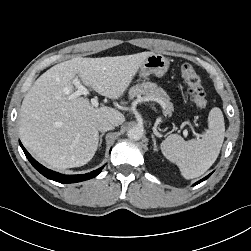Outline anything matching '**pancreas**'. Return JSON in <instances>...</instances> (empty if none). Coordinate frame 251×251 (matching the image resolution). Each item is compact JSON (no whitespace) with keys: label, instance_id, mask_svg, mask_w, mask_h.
I'll return each mask as SVG.
<instances>
[{"label":"pancreas","instance_id":"cf45deb5","mask_svg":"<svg viewBox=\"0 0 251 251\" xmlns=\"http://www.w3.org/2000/svg\"><path fill=\"white\" fill-rule=\"evenodd\" d=\"M147 98L149 100H159L162 103L163 113L171 116L173 112V104L170 102V98L167 93L157 84L152 82H143L132 86L129 90V98L134 97Z\"/></svg>","mask_w":251,"mask_h":251}]
</instances>
